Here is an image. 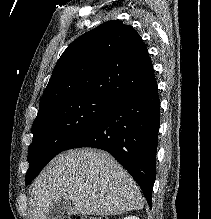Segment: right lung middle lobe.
<instances>
[{"mask_svg": "<svg viewBox=\"0 0 211 219\" xmlns=\"http://www.w3.org/2000/svg\"><path fill=\"white\" fill-rule=\"evenodd\" d=\"M114 102L100 97L75 98L56 103L32 125L26 184L81 133L94 124Z\"/></svg>", "mask_w": 211, "mask_h": 219, "instance_id": "1", "label": "right lung middle lobe"}]
</instances>
